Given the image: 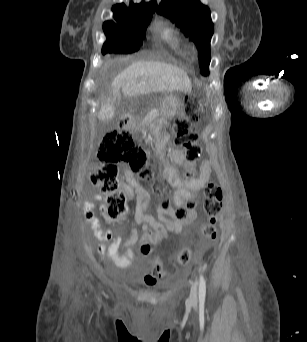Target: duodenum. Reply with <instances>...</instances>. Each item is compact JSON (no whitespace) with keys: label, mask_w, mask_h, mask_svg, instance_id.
Wrapping results in <instances>:
<instances>
[{"label":"duodenum","mask_w":307,"mask_h":342,"mask_svg":"<svg viewBox=\"0 0 307 342\" xmlns=\"http://www.w3.org/2000/svg\"><path fill=\"white\" fill-rule=\"evenodd\" d=\"M123 127H130L132 125V120L130 117H124L122 120Z\"/></svg>","instance_id":"obj_1"}]
</instances>
